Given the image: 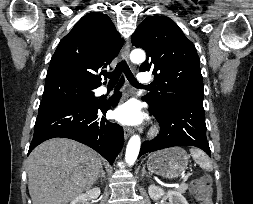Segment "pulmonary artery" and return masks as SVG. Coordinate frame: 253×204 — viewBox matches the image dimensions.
I'll return each mask as SVG.
<instances>
[{
	"instance_id": "pulmonary-artery-1",
	"label": "pulmonary artery",
	"mask_w": 253,
	"mask_h": 204,
	"mask_svg": "<svg viewBox=\"0 0 253 204\" xmlns=\"http://www.w3.org/2000/svg\"><path fill=\"white\" fill-rule=\"evenodd\" d=\"M137 78H138L139 84H141L142 86H148L152 82L151 75L148 74V73H145V72L144 73H139ZM99 94L100 95H106V94L111 95L112 92H109L105 87H103L99 90Z\"/></svg>"
}]
</instances>
